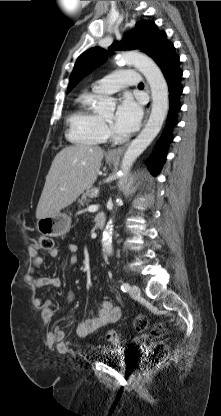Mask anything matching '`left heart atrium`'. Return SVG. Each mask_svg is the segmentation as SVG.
<instances>
[{
	"mask_svg": "<svg viewBox=\"0 0 221 416\" xmlns=\"http://www.w3.org/2000/svg\"><path fill=\"white\" fill-rule=\"evenodd\" d=\"M142 117L140 105L131 97H124L117 107L113 128L118 134H129L137 129Z\"/></svg>",
	"mask_w": 221,
	"mask_h": 416,
	"instance_id": "39dd6f15",
	"label": "left heart atrium"
}]
</instances>
